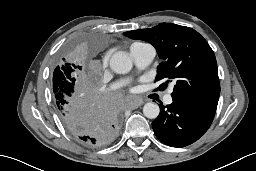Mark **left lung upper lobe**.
Listing matches in <instances>:
<instances>
[{
    "mask_svg": "<svg viewBox=\"0 0 256 171\" xmlns=\"http://www.w3.org/2000/svg\"><path fill=\"white\" fill-rule=\"evenodd\" d=\"M124 35L149 42L163 59L157 67L156 81L168 80L157 89H165L173 81L175 84L171 95L191 94L219 99L216 58L197 31L176 24L160 23L153 28L128 31Z\"/></svg>",
    "mask_w": 256,
    "mask_h": 171,
    "instance_id": "5c2ea615",
    "label": "left lung upper lobe"
}]
</instances>
